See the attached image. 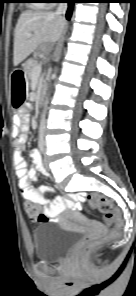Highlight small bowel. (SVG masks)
Returning <instances> with one entry per match:
<instances>
[{"mask_svg": "<svg viewBox=\"0 0 136 296\" xmlns=\"http://www.w3.org/2000/svg\"><path fill=\"white\" fill-rule=\"evenodd\" d=\"M30 106L26 105L21 108L18 113L13 116V121L19 131L16 139L15 166L16 173L19 178V188L22 197L25 200L38 203L44 206L42 214L49 222L59 220L61 214L65 210H73L78 197L74 194L57 196L53 203H50L49 195L53 194V190L49 188H35L33 182L36 179V172L39 171L45 177H50V173L45 169L41 161V155L38 151H32L31 157L33 166L28 167L25 158L22 155L25 143L28 138V112ZM81 199V197H79ZM35 220L36 218L33 217Z\"/></svg>", "mask_w": 136, "mask_h": 296, "instance_id": "c3829d8e", "label": "small bowel"}]
</instances>
